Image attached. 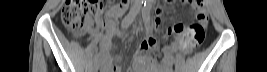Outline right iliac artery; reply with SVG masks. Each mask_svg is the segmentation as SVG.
I'll return each instance as SVG.
<instances>
[{
  "instance_id": "right-iliac-artery-1",
  "label": "right iliac artery",
  "mask_w": 267,
  "mask_h": 72,
  "mask_svg": "<svg viewBox=\"0 0 267 72\" xmlns=\"http://www.w3.org/2000/svg\"><path fill=\"white\" fill-rule=\"evenodd\" d=\"M142 4H143V2H138V3L135 4L133 9L129 12V14L122 21V28H127L132 23V21L134 20V18L138 14ZM98 58H99V53L96 52L95 55H94V59H93L94 62L97 61Z\"/></svg>"
}]
</instances>
